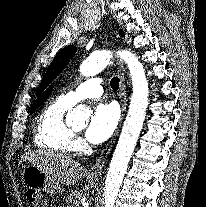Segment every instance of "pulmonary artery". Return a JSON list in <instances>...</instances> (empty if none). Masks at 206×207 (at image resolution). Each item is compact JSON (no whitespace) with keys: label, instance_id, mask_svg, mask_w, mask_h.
<instances>
[{"label":"pulmonary artery","instance_id":"obj_1","mask_svg":"<svg viewBox=\"0 0 206 207\" xmlns=\"http://www.w3.org/2000/svg\"><path fill=\"white\" fill-rule=\"evenodd\" d=\"M102 94V78L92 77L82 82L74 90L67 92L64 97L74 105L84 99L99 98Z\"/></svg>","mask_w":206,"mask_h":207}]
</instances>
